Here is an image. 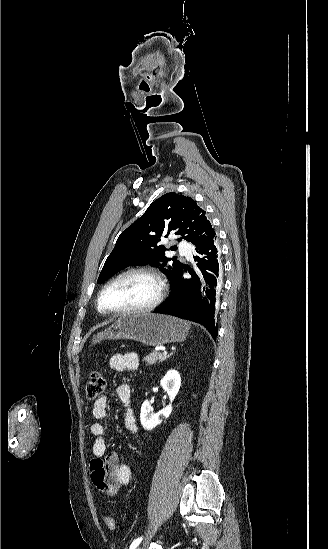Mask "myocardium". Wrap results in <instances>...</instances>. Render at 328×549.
<instances>
[{"label":"myocardium","instance_id":"1","mask_svg":"<svg viewBox=\"0 0 328 549\" xmlns=\"http://www.w3.org/2000/svg\"><path fill=\"white\" fill-rule=\"evenodd\" d=\"M157 268H158L157 266L152 264H147V263H135L123 268L120 272H118L115 276H113L109 281H107L102 287V289L100 290L97 297L98 311L101 314L111 318H123V317H129L134 315H144V314L155 312L159 307L160 303L162 302L167 289L166 282L163 276L157 271ZM134 272L146 274L156 282L157 293L155 297L149 303L140 307L125 309L120 311L106 309L103 306L102 300L107 289L123 276L129 273H134Z\"/></svg>","mask_w":328,"mask_h":549}]
</instances>
